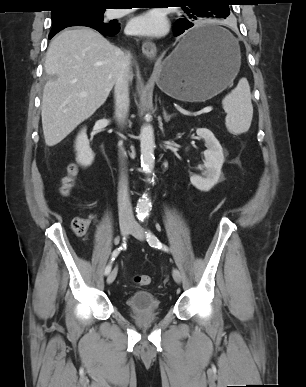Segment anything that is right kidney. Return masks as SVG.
Wrapping results in <instances>:
<instances>
[{
	"instance_id": "ca27d5eb",
	"label": "right kidney",
	"mask_w": 306,
	"mask_h": 387,
	"mask_svg": "<svg viewBox=\"0 0 306 387\" xmlns=\"http://www.w3.org/2000/svg\"><path fill=\"white\" fill-rule=\"evenodd\" d=\"M75 150L77 151V161L82 166H89L94 160V153L89 146L86 129H82L78 134L75 142Z\"/></svg>"
}]
</instances>
